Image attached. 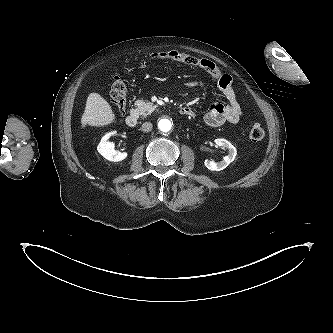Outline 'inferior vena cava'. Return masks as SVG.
<instances>
[{
	"label": "inferior vena cava",
	"mask_w": 333,
	"mask_h": 333,
	"mask_svg": "<svg viewBox=\"0 0 333 333\" xmlns=\"http://www.w3.org/2000/svg\"><path fill=\"white\" fill-rule=\"evenodd\" d=\"M152 127H153L152 123L145 122V123L142 124L141 130L143 132H150L152 130Z\"/></svg>",
	"instance_id": "obj_1"
}]
</instances>
